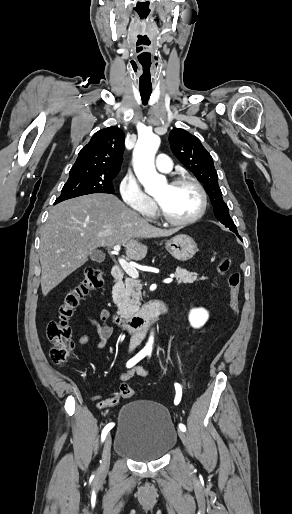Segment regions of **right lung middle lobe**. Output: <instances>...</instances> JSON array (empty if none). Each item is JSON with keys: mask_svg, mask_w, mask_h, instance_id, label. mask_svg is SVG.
<instances>
[{"mask_svg": "<svg viewBox=\"0 0 292 514\" xmlns=\"http://www.w3.org/2000/svg\"><path fill=\"white\" fill-rule=\"evenodd\" d=\"M116 175L100 174H69V179L62 188L61 195L54 204L61 201L92 194V193H114L113 179Z\"/></svg>", "mask_w": 292, "mask_h": 514, "instance_id": "dd1d6c3e", "label": "right lung middle lobe"}]
</instances>
